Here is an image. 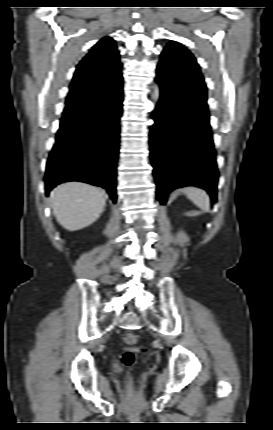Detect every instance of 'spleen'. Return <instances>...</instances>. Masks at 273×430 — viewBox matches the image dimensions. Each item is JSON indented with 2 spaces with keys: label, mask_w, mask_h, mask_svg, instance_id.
Here are the masks:
<instances>
[{
  "label": "spleen",
  "mask_w": 273,
  "mask_h": 430,
  "mask_svg": "<svg viewBox=\"0 0 273 430\" xmlns=\"http://www.w3.org/2000/svg\"><path fill=\"white\" fill-rule=\"evenodd\" d=\"M185 195L199 208L208 212L210 210V202L208 195L204 190L195 187H188L184 189Z\"/></svg>",
  "instance_id": "1"
}]
</instances>
